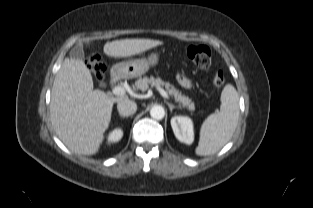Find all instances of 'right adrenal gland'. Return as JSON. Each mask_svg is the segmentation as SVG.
<instances>
[{
    "label": "right adrenal gland",
    "mask_w": 313,
    "mask_h": 208,
    "mask_svg": "<svg viewBox=\"0 0 313 208\" xmlns=\"http://www.w3.org/2000/svg\"><path fill=\"white\" fill-rule=\"evenodd\" d=\"M120 117L121 118H128V116H124V115H121V114H120Z\"/></svg>",
    "instance_id": "2a0ac1e0"
}]
</instances>
